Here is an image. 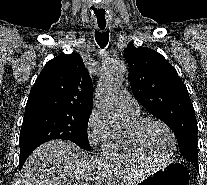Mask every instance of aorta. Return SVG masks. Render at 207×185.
<instances>
[{"label":"aorta","mask_w":207,"mask_h":185,"mask_svg":"<svg viewBox=\"0 0 207 185\" xmlns=\"http://www.w3.org/2000/svg\"><path fill=\"white\" fill-rule=\"evenodd\" d=\"M126 71L127 66L121 60H111L104 64L95 93L97 109L115 129L125 127L128 121L118 104V92Z\"/></svg>","instance_id":"762f6f07"}]
</instances>
